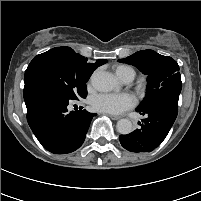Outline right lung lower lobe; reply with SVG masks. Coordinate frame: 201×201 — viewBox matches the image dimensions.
<instances>
[{
	"label": "right lung lower lobe",
	"mask_w": 201,
	"mask_h": 201,
	"mask_svg": "<svg viewBox=\"0 0 201 201\" xmlns=\"http://www.w3.org/2000/svg\"><path fill=\"white\" fill-rule=\"evenodd\" d=\"M23 93L28 124L45 149L66 154L82 145L90 121L96 114L85 110L68 112L71 99L39 81L25 83Z\"/></svg>",
	"instance_id": "98d812e1"
}]
</instances>
